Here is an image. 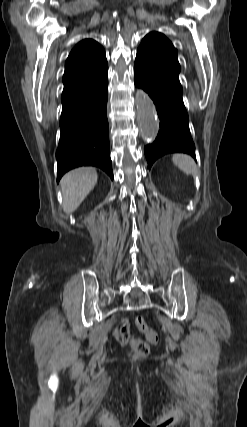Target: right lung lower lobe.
<instances>
[{"label":"right lung lower lobe","instance_id":"98d812e1","mask_svg":"<svg viewBox=\"0 0 247 427\" xmlns=\"http://www.w3.org/2000/svg\"><path fill=\"white\" fill-rule=\"evenodd\" d=\"M108 70L74 88L64 90L57 159V181L79 166H96L113 179L106 115Z\"/></svg>","mask_w":247,"mask_h":427}]
</instances>
